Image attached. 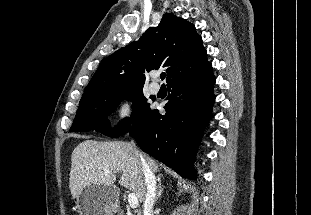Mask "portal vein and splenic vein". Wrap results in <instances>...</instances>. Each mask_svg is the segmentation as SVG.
<instances>
[{"instance_id":"18ae733b","label":"portal vein and splenic vein","mask_w":311,"mask_h":215,"mask_svg":"<svg viewBox=\"0 0 311 215\" xmlns=\"http://www.w3.org/2000/svg\"><path fill=\"white\" fill-rule=\"evenodd\" d=\"M104 171L106 173L109 172V170H107V169H105ZM128 203H129V206L131 208H137L138 207L139 202H138V199H137L135 194L131 193V194L128 195Z\"/></svg>"}]
</instances>
